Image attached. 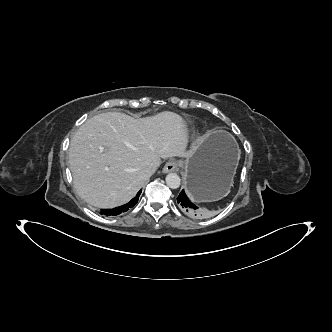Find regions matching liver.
Here are the masks:
<instances>
[{
    "instance_id": "6515ba94",
    "label": "liver",
    "mask_w": 332,
    "mask_h": 332,
    "mask_svg": "<svg viewBox=\"0 0 332 332\" xmlns=\"http://www.w3.org/2000/svg\"><path fill=\"white\" fill-rule=\"evenodd\" d=\"M201 139L186 150L181 116L165 111L136 120L108 112L88 119L70 142L69 165L77 193L89 204L114 208L130 201L162 158L191 157Z\"/></svg>"
}]
</instances>
